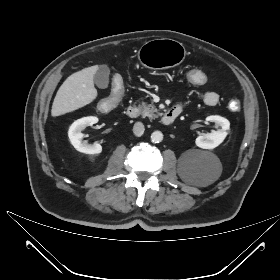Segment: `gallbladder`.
<instances>
[{
  "instance_id": "bac80fb5",
  "label": "gallbladder",
  "mask_w": 280,
  "mask_h": 280,
  "mask_svg": "<svg viewBox=\"0 0 280 280\" xmlns=\"http://www.w3.org/2000/svg\"><path fill=\"white\" fill-rule=\"evenodd\" d=\"M110 69L107 65H100L94 74V83L98 88L105 89L109 85Z\"/></svg>"
}]
</instances>
